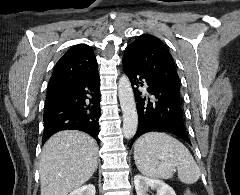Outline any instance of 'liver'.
<instances>
[{"instance_id":"1","label":"liver","mask_w":240,"mask_h":195,"mask_svg":"<svg viewBox=\"0 0 240 195\" xmlns=\"http://www.w3.org/2000/svg\"><path fill=\"white\" fill-rule=\"evenodd\" d=\"M98 149L84 131L65 129L49 137L39 163L41 195H67L86 183L97 169Z\"/></svg>"}]
</instances>
